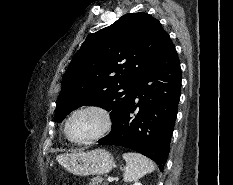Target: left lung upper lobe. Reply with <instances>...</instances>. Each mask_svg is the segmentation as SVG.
<instances>
[{"label": "left lung upper lobe", "instance_id": "left-lung-upper-lobe-1", "mask_svg": "<svg viewBox=\"0 0 233 185\" xmlns=\"http://www.w3.org/2000/svg\"><path fill=\"white\" fill-rule=\"evenodd\" d=\"M169 39L160 22L143 12L125 14L90 35L64 75L56 121L77 107L93 105L111 111L113 128L132 102L138 80Z\"/></svg>", "mask_w": 233, "mask_h": 185}]
</instances>
